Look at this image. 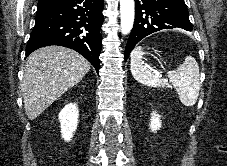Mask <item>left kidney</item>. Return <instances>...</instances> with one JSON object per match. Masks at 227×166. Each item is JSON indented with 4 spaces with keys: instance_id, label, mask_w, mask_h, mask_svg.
Returning a JSON list of instances; mask_svg holds the SVG:
<instances>
[{
    "instance_id": "obj_1",
    "label": "left kidney",
    "mask_w": 227,
    "mask_h": 166,
    "mask_svg": "<svg viewBox=\"0 0 227 166\" xmlns=\"http://www.w3.org/2000/svg\"><path fill=\"white\" fill-rule=\"evenodd\" d=\"M161 127V120L160 116L154 112L151 117V122H150V129L153 132H156L158 129Z\"/></svg>"
}]
</instances>
